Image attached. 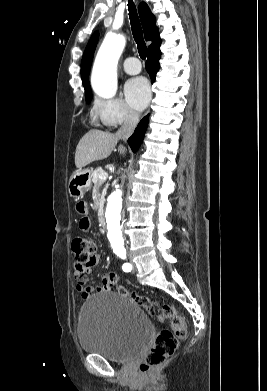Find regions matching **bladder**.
I'll return each instance as SVG.
<instances>
[{
	"label": "bladder",
	"mask_w": 267,
	"mask_h": 391,
	"mask_svg": "<svg viewBox=\"0 0 267 391\" xmlns=\"http://www.w3.org/2000/svg\"><path fill=\"white\" fill-rule=\"evenodd\" d=\"M152 333L144 311L117 292L91 297L79 312L77 335L82 350L111 361L125 362L139 355Z\"/></svg>",
	"instance_id": "bladder-1"
}]
</instances>
